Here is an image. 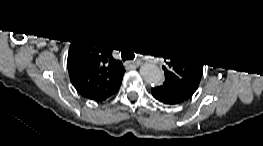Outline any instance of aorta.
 Returning a JSON list of instances; mask_svg holds the SVG:
<instances>
[{"instance_id":"762f6f07","label":"aorta","mask_w":263,"mask_h":146,"mask_svg":"<svg viewBox=\"0 0 263 146\" xmlns=\"http://www.w3.org/2000/svg\"><path fill=\"white\" fill-rule=\"evenodd\" d=\"M140 74L143 80L152 86H158L163 83L164 74L154 64L145 63L140 67Z\"/></svg>"}]
</instances>
